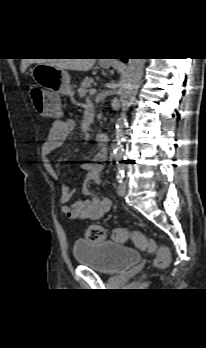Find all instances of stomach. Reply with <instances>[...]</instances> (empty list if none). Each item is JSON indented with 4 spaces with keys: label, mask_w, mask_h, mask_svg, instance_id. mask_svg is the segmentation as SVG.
Masks as SVG:
<instances>
[{
    "label": "stomach",
    "mask_w": 206,
    "mask_h": 348,
    "mask_svg": "<svg viewBox=\"0 0 206 348\" xmlns=\"http://www.w3.org/2000/svg\"><path fill=\"white\" fill-rule=\"evenodd\" d=\"M41 92L34 97V107L43 116H51L58 108V95H73L70 76L64 69L47 64L36 65L31 72Z\"/></svg>",
    "instance_id": "0dacf381"
}]
</instances>
